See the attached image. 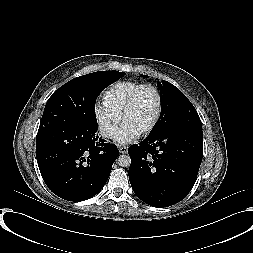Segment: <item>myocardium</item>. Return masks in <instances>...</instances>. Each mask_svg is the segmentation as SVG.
Here are the masks:
<instances>
[{
    "instance_id": "f54148a6",
    "label": "myocardium",
    "mask_w": 253,
    "mask_h": 253,
    "mask_svg": "<svg viewBox=\"0 0 253 253\" xmlns=\"http://www.w3.org/2000/svg\"><path fill=\"white\" fill-rule=\"evenodd\" d=\"M145 90H152L155 92V94L157 96V110H156L155 116H154L151 124L146 129H144L143 131L140 132L141 136L149 135L156 128V126L161 118L162 111H163V95H162L160 89L157 86L152 85V84H145V85L141 86L128 98V100L126 101V103L121 111V114H120V119L123 122L126 114L133 108V106L137 102L139 96Z\"/></svg>"
}]
</instances>
